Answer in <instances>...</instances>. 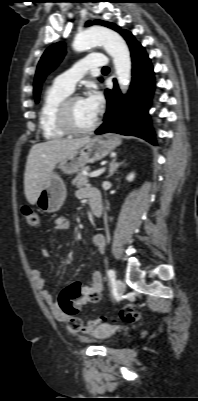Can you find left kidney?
Segmentation results:
<instances>
[{"mask_svg":"<svg viewBox=\"0 0 198 401\" xmlns=\"http://www.w3.org/2000/svg\"><path fill=\"white\" fill-rule=\"evenodd\" d=\"M134 178H135V174H134V173H130V174L127 176L126 179H127L129 182H131V181L134 180Z\"/></svg>","mask_w":198,"mask_h":401,"instance_id":"left-kidney-1","label":"left kidney"}]
</instances>
